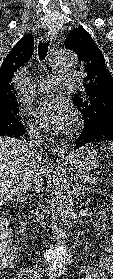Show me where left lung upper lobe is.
Returning <instances> with one entry per match:
<instances>
[{
  "label": "left lung upper lobe",
  "instance_id": "obj_1",
  "mask_svg": "<svg viewBox=\"0 0 113 279\" xmlns=\"http://www.w3.org/2000/svg\"><path fill=\"white\" fill-rule=\"evenodd\" d=\"M64 45L77 53V70L85 75L82 90L74 95L75 105L83 109L87 120H93L98 112L113 114V78L91 35L81 27L73 29Z\"/></svg>",
  "mask_w": 113,
  "mask_h": 279
}]
</instances>
